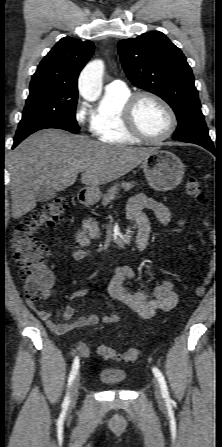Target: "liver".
<instances>
[{
  "label": "liver",
  "mask_w": 222,
  "mask_h": 447,
  "mask_svg": "<svg viewBox=\"0 0 222 447\" xmlns=\"http://www.w3.org/2000/svg\"><path fill=\"white\" fill-rule=\"evenodd\" d=\"M155 148L109 145L59 129L38 131L10 154L12 217L18 219L36 207L43 186L62 191L81 182L99 186L127 174Z\"/></svg>",
  "instance_id": "6515ba94"
}]
</instances>
